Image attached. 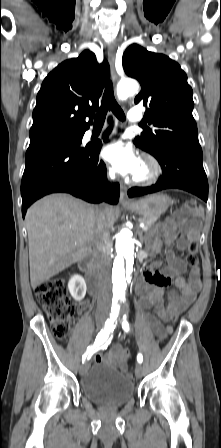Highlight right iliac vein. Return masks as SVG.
<instances>
[{
    "instance_id": "63e3f726",
    "label": "right iliac vein",
    "mask_w": 221,
    "mask_h": 448,
    "mask_svg": "<svg viewBox=\"0 0 221 448\" xmlns=\"http://www.w3.org/2000/svg\"><path fill=\"white\" fill-rule=\"evenodd\" d=\"M103 326H104V319H99L97 321V329L101 330L103 328ZM88 368H89V363L88 362L83 363L79 368L80 374L84 375L88 371Z\"/></svg>"
}]
</instances>
